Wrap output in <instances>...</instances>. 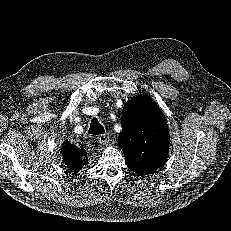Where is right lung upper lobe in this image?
Instances as JSON below:
<instances>
[{"label":"right lung upper lobe","instance_id":"cb5924a9","mask_svg":"<svg viewBox=\"0 0 231 231\" xmlns=\"http://www.w3.org/2000/svg\"><path fill=\"white\" fill-rule=\"evenodd\" d=\"M62 154L63 160L70 170L79 171L80 168L83 167L84 163H86L85 157L87 156V154L83 151L79 155H75L62 149Z\"/></svg>","mask_w":231,"mask_h":231}]
</instances>
